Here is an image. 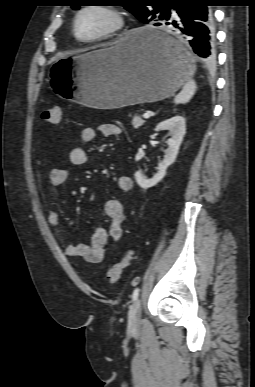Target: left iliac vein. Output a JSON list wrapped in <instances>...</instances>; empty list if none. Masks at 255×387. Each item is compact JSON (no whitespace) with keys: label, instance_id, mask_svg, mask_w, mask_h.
Returning a JSON list of instances; mask_svg holds the SVG:
<instances>
[{"label":"left iliac vein","instance_id":"obj_1","mask_svg":"<svg viewBox=\"0 0 255 387\" xmlns=\"http://www.w3.org/2000/svg\"><path fill=\"white\" fill-rule=\"evenodd\" d=\"M141 302L139 299H136L132 304L129 311V327L130 329H137L140 326L141 322Z\"/></svg>","mask_w":255,"mask_h":387}]
</instances>
